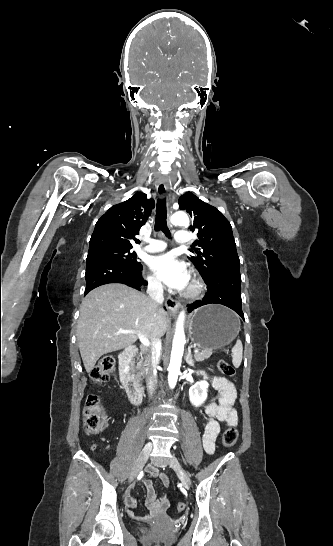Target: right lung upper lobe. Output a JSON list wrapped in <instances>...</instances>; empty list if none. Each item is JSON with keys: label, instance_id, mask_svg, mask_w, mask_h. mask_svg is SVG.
<instances>
[{"label": "right lung upper lobe", "instance_id": "obj_1", "mask_svg": "<svg viewBox=\"0 0 333 546\" xmlns=\"http://www.w3.org/2000/svg\"><path fill=\"white\" fill-rule=\"evenodd\" d=\"M154 200L137 192L127 201L112 206L96 223L89 251L104 247H129L139 241L134 237L151 214Z\"/></svg>", "mask_w": 333, "mask_h": 546}]
</instances>
